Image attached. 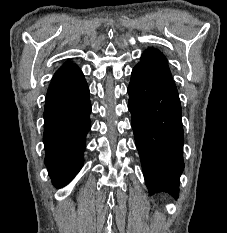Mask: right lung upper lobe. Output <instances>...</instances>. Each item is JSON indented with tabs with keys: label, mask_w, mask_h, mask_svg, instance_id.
<instances>
[{
	"label": "right lung upper lobe",
	"mask_w": 227,
	"mask_h": 233,
	"mask_svg": "<svg viewBox=\"0 0 227 233\" xmlns=\"http://www.w3.org/2000/svg\"><path fill=\"white\" fill-rule=\"evenodd\" d=\"M82 80H84V75L77 65L69 61L66 62L54 74L46 95V101L71 89Z\"/></svg>",
	"instance_id": "cb5924a9"
}]
</instances>
